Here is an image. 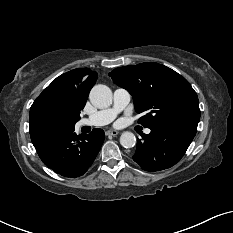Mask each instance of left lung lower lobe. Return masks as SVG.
Here are the masks:
<instances>
[{
  "mask_svg": "<svg viewBox=\"0 0 233 233\" xmlns=\"http://www.w3.org/2000/svg\"><path fill=\"white\" fill-rule=\"evenodd\" d=\"M197 130L183 126H161L137 140L133 160L146 171H160L175 165L185 154Z\"/></svg>",
  "mask_w": 233,
  "mask_h": 233,
  "instance_id": "1",
  "label": "left lung lower lobe"
}]
</instances>
